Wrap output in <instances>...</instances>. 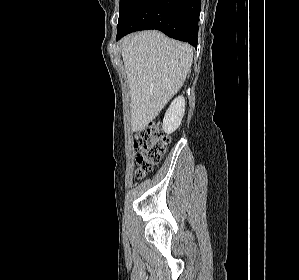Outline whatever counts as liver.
<instances>
[{
  "instance_id": "1",
  "label": "liver",
  "mask_w": 299,
  "mask_h": 280,
  "mask_svg": "<svg viewBox=\"0 0 299 280\" xmlns=\"http://www.w3.org/2000/svg\"><path fill=\"white\" fill-rule=\"evenodd\" d=\"M121 54L131 97V128L144 129L182 87L193 60V48L159 31L126 36Z\"/></svg>"
}]
</instances>
